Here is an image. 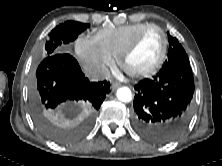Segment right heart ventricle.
<instances>
[{"mask_svg": "<svg viewBox=\"0 0 222 166\" xmlns=\"http://www.w3.org/2000/svg\"><path fill=\"white\" fill-rule=\"evenodd\" d=\"M148 25L150 24L136 23L116 28L101 29L96 31L92 38L108 55L112 58H117L133 37Z\"/></svg>", "mask_w": 222, "mask_h": 166, "instance_id": "obj_1", "label": "right heart ventricle"}]
</instances>
